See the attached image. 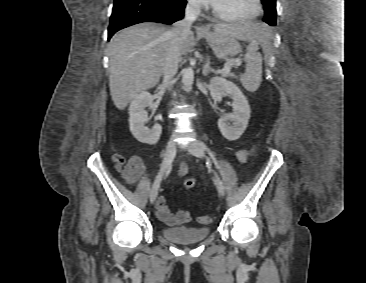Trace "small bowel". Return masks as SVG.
Returning <instances> with one entry per match:
<instances>
[{"instance_id":"c3829d8e","label":"small bowel","mask_w":366,"mask_h":283,"mask_svg":"<svg viewBox=\"0 0 366 283\" xmlns=\"http://www.w3.org/2000/svg\"><path fill=\"white\" fill-rule=\"evenodd\" d=\"M236 155L240 161L244 162L247 160L249 152L243 149L239 150ZM112 159L115 169L121 173L122 178L128 184H135L144 173L145 167L139 155H133L126 161L123 156L115 154ZM187 171V165L182 163L177 173L179 176H183ZM156 209L158 218L168 225H182L190 219V214L187 211L180 210L176 214H172L163 196L158 198Z\"/></svg>"}]
</instances>
